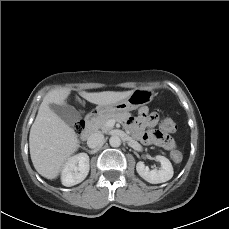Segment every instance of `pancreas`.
Listing matches in <instances>:
<instances>
[{
    "label": "pancreas",
    "instance_id": "cf45deb5",
    "mask_svg": "<svg viewBox=\"0 0 229 229\" xmlns=\"http://www.w3.org/2000/svg\"><path fill=\"white\" fill-rule=\"evenodd\" d=\"M128 115L129 114L127 112H124V113H117V114H112V115L100 116L94 122V128L96 130L100 129V130H102V132H108L110 129H112V127H109L106 124L109 120H115L117 122H122V121L126 120Z\"/></svg>",
    "mask_w": 229,
    "mask_h": 229
}]
</instances>
